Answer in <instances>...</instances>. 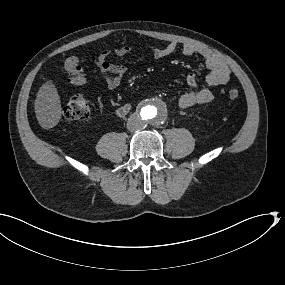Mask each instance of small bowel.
Instances as JSON below:
<instances>
[{"label": "small bowel", "mask_w": 285, "mask_h": 285, "mask_svg": "<svg viewBox=\"0 0 285 285\" xmlns=\"http://www.w3.org/2000/svg\"><path fill=\"white\" fill-rule=\"evenodd\" d=\"M132 47L123 45L116 48L113 52L116 56H126L132 52ZM180 51L186 56H199L204 60L208 69L205 77V85L199 87L194 75L187 77V83L191 90L183 94L179 99V107L186 109L194 105L206 104L214 99L213 89L225 84L230 76L228 66L209 49L197 46L191 43L178 45L177 43H169L164 47H150V54L154 59H161L169 56L176 51ZM111 52L105 50L99 54L93 61L100 68L106 85L110 90L118 88L127 68L121 64H115L109 60Z\"/></svg>", "instance_id": "obj_1"}]
</instances>
